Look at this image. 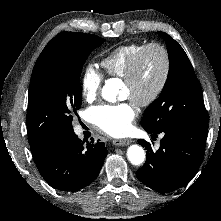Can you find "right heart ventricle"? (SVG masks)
Returning <instances> with one entry per match:
<instances>
[{
  "instance_id": "obj_1",
  "label": "right heart ventricle",
  "mask_w": 221,
  "mask_h": 221,
  "mask_svg": "<svg viewBox=\"0 0 221 221\" xmlns=\"http://www.w3.org/2000/svg\"><path fill=\"white\" fill-rule=\"evenodd\" d=\"M143 46V43L120 45L109 51L100 64L108 76L123 78L131 61Z\"/></svg>"
}]
</instances>
